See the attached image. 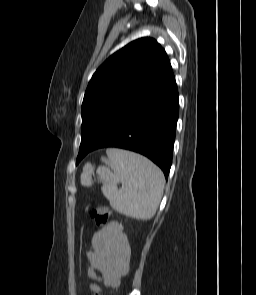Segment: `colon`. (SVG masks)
<instances>
[{
  "label": "colon",
  "mask_w": 256,
  "mask_h": 295,
  "mask_svg": "<svg viewBox=\"0 0 256 295\" xmlns=\"http://www.w3.org/2000/svg\"><path fill=\"white\" fill-rule=\"evenodd\" d=\"M88 215L96 226H102L108 222L110 214L105 206H97L88 210Z\"/></svg>",
  "instance_id": "5ec220e1"
}]
</instances>
